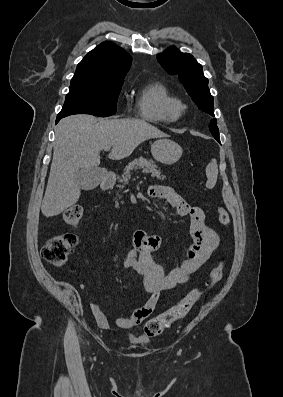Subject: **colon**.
I'll return each instance as SVG.
<instances>
[{
	"label": "colon",
	"instance_id": "5ec220e1",
	"mask_svg": "<svg viewBox=\"0 0 283 397\" xmlns=\"http://www.w3.org/2000/svg\"><path fill=\"white\" fill-rule=\"evenodd\" d=\"M218 220L221 225L227 226L230 217L226 209L222 206L217 208ZM83 209L79 205L69 207L63 214L66 224L77 227L81 222ZM77 244V236L73 233H63L48 240L41 249L42 257L50 264L60 267L63 266L72 250ZM224 273V263L219 262L210 273L206 286L198 288L188 293L172 308L150 319L144 326V333L148 337L159 336L166 329L170 328L175 322L184 318L201 299L207 288L218 282Z\"/></svg>",
	"mask_w": 283,
	"mask_h": 397
}]
</instances>
